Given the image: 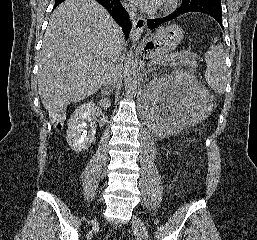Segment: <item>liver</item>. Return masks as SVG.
Masks as SVG:
<instances>
[{"instance_id":"obj_1","label":"liver","mask_w":257,"mask_h":240,"mask_svg":"<svg viewBox=\"0 0 257 240\" xmlns=\"http://www.w3.org/2000/svg\"><path fill=\"white\" fill-rule=\"evenodd\" d=\"M119 28L95 0H66L52 13L39 57L38 91L50 117L95 93L110 67ZM125 44L120 45L122 56Z\"/></svg>"}]
</instances>
